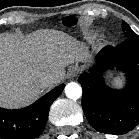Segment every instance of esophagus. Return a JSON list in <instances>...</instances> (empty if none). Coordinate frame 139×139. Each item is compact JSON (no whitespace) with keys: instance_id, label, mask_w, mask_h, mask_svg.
<instances>
[{"instance_id":"obj_1","label":"esophagus","mask_w":139,"mask_h":139,"mask_svg":"<svg viewBox=\"0 0 139 139\" xmlns=\"http://www.w3.org/2000/svg\"><path fill=\"white\" fill-rule=\"evenodd\" d=\"M80 72V67L75 65V66H71L68 70V78L69 79H73L74 77L77 76V74Z\"/></svg>"}]
</instances>
